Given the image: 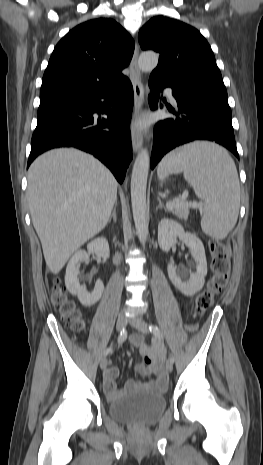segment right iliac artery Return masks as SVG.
I'll return each instance as SVG.
<instances>
[{
    "label": "right iliac artery",
    "mask_w": 263,
    "mask_h": 465,
    "mask_svg": "<svg viewBox=\"0 0 263 465\" xmlns=\"http://www.w3.org/2000/svg\"><path fill=\"white\" fill-rule=\"evenodd\" d=\"M127 338V331L125 329H123L119 336H118V344H122ZM113 351V348L112 347H109L107 348L105 351H104V356H107L109 353H111Z\"/></svg>",
    "instance_id": "right-iliac-artery-1"
}]
</instances>
